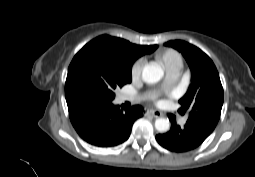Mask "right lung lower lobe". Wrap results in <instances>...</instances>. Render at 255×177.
I'll list each match as a JSON object with an SVG mask.
<instances>
[{"label": "right lung lower lobe", "mask_w": 255, "mask_h": 177, "mask_svg": "<svg viewBox=\"0 0 255 177\" xmlns=\"http://www.w3.org/2000/svg\"><path fill=\"white\" fill-rule=\"evenodd\" d=\"M69 117L79 136L94 146L114 147L126 141L143 108L135 105L123 112L111 102L83 96L67 103Z\"/></svg>", "instance_id": "right-lung-lower-lobe-1"}]
</instances>
